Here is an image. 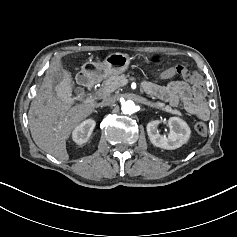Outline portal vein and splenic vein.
Returning <instances> with one entry per match:
<instances>
[{"mask_svg":"<svg viewBox=\"0 0 237 237\" xmlns=\"http://www.w3.org/2000/svg\"><path fill=\"white\" fill-rule=\"evenodd\" d=\"M127 82H125V79H122L120 86H123L124 84H126Z\"/></svg>","mask_w":237,"mask_h":237,"instance_id":"obj_1","label":"portal vein and splenic vein"}]
</instances>
